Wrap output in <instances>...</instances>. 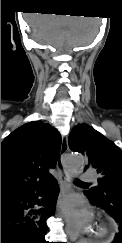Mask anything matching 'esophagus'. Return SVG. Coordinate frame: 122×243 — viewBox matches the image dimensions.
I'll list each match as a JSON object with an SVG mask.
<instances>
[{
  "instance_id": "34e87169",
  "label": "esophagus",
  "mask_w": 122,
  "mask_h": 243,
  "mask_svg": "<svg viewBox=\"0 0 122 243\" xmlns=\"http://www.w3.org/2000/svg\"><path fill=\"white\" fill-rule=\"evenodd\" d=\"M68 150V139L66 136L62 137V143H61V150H60V155L57 161V171L59 174V181H60V189H61V197L62 201L59 205L60 208V213L61 215L65 218V213H64V201L65 198L70 190L71 183H70V176L65 168L64 165V157L66 155V152ZM66 219V218H65ZM65 231L68 235V238L71 241H75L78 238V233L72 229L70 226L69 222L67 221Z\"/></svg>"
}]
</instances>
